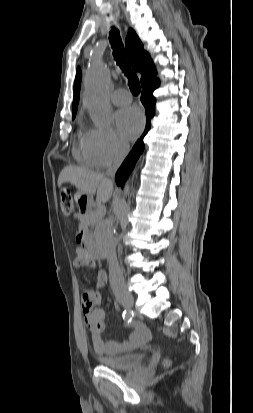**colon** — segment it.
Segmentation results:
<instances>
[{
    "mask_svg": "<svg viewBox=\"0 0 253 413\" xmlns=\"http://www.w3.org/2000/svg\"><path fill=\"white\" fill-rule=\"evenodd\" d=\"M60 210L64 216H70L74 212V201L72 195L67 190H62L60 194ZM168 364V362H166Z\"/></svg>",
    "mask_w": 253,
    "mask_h": 413,
    "instance_id": "obj_1",
    "label": "colon"
}]
</instances>
